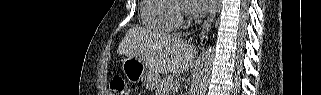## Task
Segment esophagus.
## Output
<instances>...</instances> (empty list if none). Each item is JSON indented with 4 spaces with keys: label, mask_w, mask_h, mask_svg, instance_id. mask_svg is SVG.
<instances>
[{
    "label": "esophagus",
    "mask_w": 321,
    "mask_h": 95,
    "mask_svg": "<svg viewBox=\"0 0 321 95\" xmlns=\"http://www.w3.org/2000/svg\"><path fill=\"white\" fill-rule=\"evenodd\" d=\"M218 6H219V0H215L213 2V5H212V8L210 10V13L206 19V21L204 22L203 24V27H202V31L200 33V40L206 35V33H208V31L210 30L211 28V25H212V22L215 18V15H216V12H217V9H218Z\"/></svg>",
    "instance_id": "esophagus-1"
}]
</instances>
